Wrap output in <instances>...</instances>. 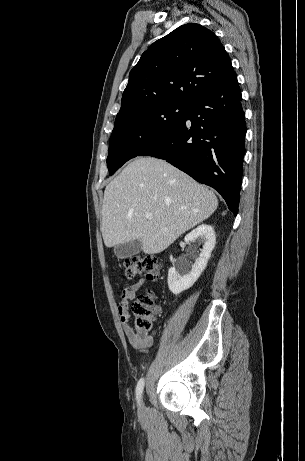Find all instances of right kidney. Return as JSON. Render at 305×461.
Listing matches in <instances>:
<instances>
[{
  "instance_id": "right-kidney-1",
  "label": "right kidney",
  "mask_w": 305,
  "mask_h": 461,
  "mask_svg": "<svg viewBox=\"0 0 305 461\" xmlns=\"http://www.w3.org/2000/svg\"><path fill=\"white\" fill-rule=\"evenodd\" d=\"M199 238L204 241L203 248L191 269L185 268L180 273L175 268H170L168 271V287L175 295L192 287L207 266L216 244V236L212 226L207 224L198 226L185 236V242H192Z\"/></svg>"
}]
</instances>
